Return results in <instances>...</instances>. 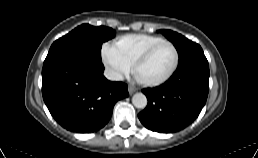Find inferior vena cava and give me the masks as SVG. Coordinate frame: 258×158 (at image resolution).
Listing matches in <instances>:
<instances>
[{"instance_id": "inferior-vena-cava-1", "label": "inferior vena cava", "mask_w": 258, "mask_h": 158, "mask_svg": "<svg viewBox=\"0 0 258 158\" xmlns=\"http://www.w3.org/2000/svg\"><path fill=\"white\" fill-rule=\"evenodd\" d=\"M104 75L109 80H118L121 78V75L114 71L113 69L107 68L104 72Z\"/></svg>"}]
</instances>
